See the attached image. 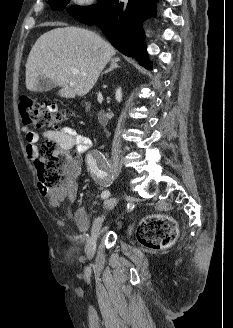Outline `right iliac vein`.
<instances>
[{"label": "right iliac vein", "mask_w": 233, "mask_h": 328, "mask_svg": "<svg viewBox=\"0 0 233 328\" xmlns=\"http://www.w3.org/2000/svg\"><path fill=\"white\" fill-rule=\"evenodd\" d=\"M116 165L113 164V168L115 169ZM118 202V199L116 198H110L105 201L104 206H103V212H106L110 209H112L116 203ZM104 213L100 214L94 221L92 230H91V235L87 241L86 247H85V253L89 259H91L96 250V242L97 238L104 220Z\"/></svg>", "instance_id": "63e3f726"}]
</instances>
